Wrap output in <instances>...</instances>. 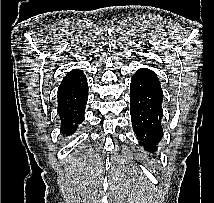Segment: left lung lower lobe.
Instances as JSON below:
<instances>
[{
    "label": "left lung lower lobe",
    "instance_id": "0a47b994",
    "mask_svg": "<svg viewBox=\"0 0 214 203\" xmlns=\"http://www.w3.org/2000/svg\"><path fill=\"white\" fill-rule=\"evenodd\" d=\"M131 121L140 144L154 152L163 134L161 120L163 92L156 74L139 69L131 78Z\"/></svg>",
    "mask_w": 214,
    "mask_h": 203
}]
</instances>
